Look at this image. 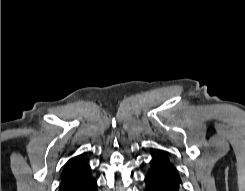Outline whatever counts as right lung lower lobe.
Returning a JSON list of instances; mask_svg holds the SVG:
<instances>
[{
    "instance_id": "right-lung-lower-lobe-1",
    "label": "right lung lower lobe",
    "mask_w": 245,
    "mask_h": 191,
    "mask_svg": "<svg viewBox=\"0 0 245 191\" xmlns=\"http://www.w3.org/2000/svg\"><path fill=\"white\" fill-rule=\"evenodd\" d=\"M59 191H97V182L89 166L62 179Z\"/></svg>"
}]
</instances>
